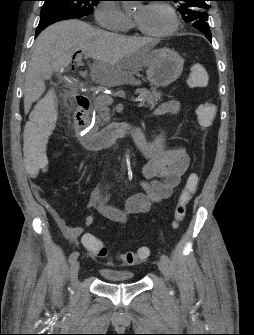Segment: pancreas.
I'll return each mask as SVG.
<instances>
[{"label": "pancreas", "instance_id": "pancreas-1", "mask_svg": "<svg viewBox=\"0 0 254 335\" xmlns=\"http://www.w3.org/2000/svg\"><path fill=\"white\" fill-rule=\"evenodd\" d=\"M139 94V97L143 99V102L146 103V107L154 109L155 106L161 101V93L155 89L148 91L145 89H138L136 91ZM96 111V121L95 127L103 126L110 120V110L105 103L101 100H98L95 107Z\"/></svg>", "mask_w": 254, "mask_h": 335}]
</instances>
